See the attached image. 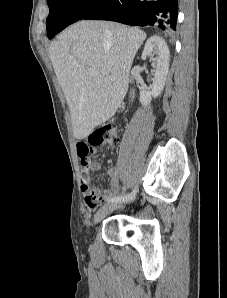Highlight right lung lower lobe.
<instances>
[{"label": "right lung lower lobe", "instance_id": "98d812e1", "mask_svg": "<svg viewBox=\"0 0 227 298\" xmlns=\"http://www.w3.org/2000/svg\"><path fill=\"white\" fill-rule=\"evenodd\" d=\"M178 0H104L83 19L176 30Z\"/></svg>", "mask_w": 227, "mask_h": 298}]
</instances>
